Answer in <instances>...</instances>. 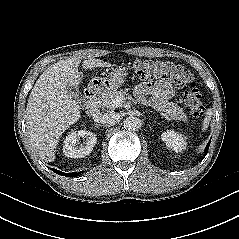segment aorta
I'll list each match as a JSON object with an SVG mask.
<instances>
[{
	"instance_id": "762f6f07",
	"label": "aorta",
	"mask_w": 239,
	"mask_h": 239,
	"mask_svg": "<svg viewBox=\"0 0 239 239\" xmlns=\"http://www.w3.org/2000/svg\"><path fill=\"white\" fill-rule=\"evenodd\" d=\"M123 125L128 131H137L141 127V120L137 117L131 116L124 120Z\"/></svg>"
}]
</instances>
